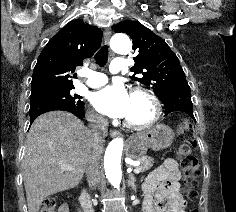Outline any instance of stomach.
I'll use <instances>...</instances> for the list:
<instances>
[{"label":"stomach","mask_w":236,"mask_h":212,"mask_svg":"<svg viewBox=\"0 0 236 212\" xmlns=\"http://www.w3.org/2000/svg\"><path fill=\"white\" fill-rule=\"evenodd\" d=\"M174 136L169 126L157 124L147 131L132 135L127 145V154L136 158L145 154L148 149L154 151L166 149L173 143Z\"/></svg>","instance_id":"0dacf381"}]
</instances>
